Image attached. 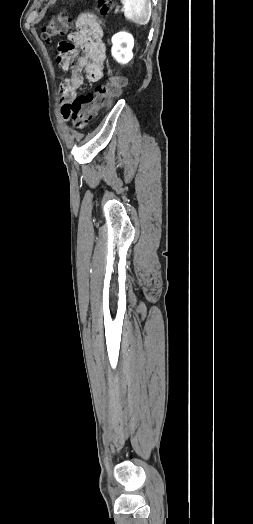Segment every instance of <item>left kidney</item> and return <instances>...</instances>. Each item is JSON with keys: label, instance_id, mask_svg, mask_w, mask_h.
I'll list each match as a JSON object with an SVG mask.
<instances>
[{"label": "left kidney", "instance_id": "5707ae66", "mask_svg": "<svg viewBox=\"0 0 253 524\" xmlns=\"http://www.w3.org/2000/svg\"><path fill=\"white\" fill-rule=\"evenodd\" d=\"M112 56L117 62L125 64L128 63L132 57V49L134 46L133 36L126 32H120L112 37Z\"/></svg>", "mask_w": 253, "mask_h": 524}]
</instances>
